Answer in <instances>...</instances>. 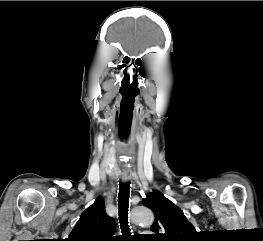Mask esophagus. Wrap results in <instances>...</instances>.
Here are the masks:
<instances>
[{"mask_svg":"<svg viewBox=\"0 0 263 241\" xmlns=\"http://www.w3.org/2000/svg\"><path fill=\"white\" fill-rule=\"evenodd\" d=\"M131 179V175L128 172L122 173V181L124 183L128 182Z\"/></svg>","mask_w":263,"mask_h":241,"instance_id":"esophagus-1","label":"esophagus"}]
</instances>
